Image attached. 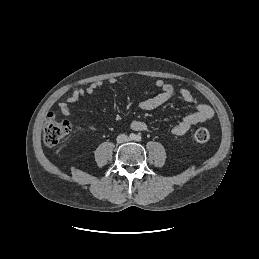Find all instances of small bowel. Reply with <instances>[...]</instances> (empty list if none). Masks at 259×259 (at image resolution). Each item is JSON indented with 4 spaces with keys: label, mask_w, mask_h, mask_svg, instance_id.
Listing matches in <instances>:
<instances>
[{
    "label": "small bowel",
    "mask_w": 259,
    "mask_h": 259,
    "mask_svg": "<svg viewBox=\"0 0 259 259\" xmlns=\"http://www.w3.org/2000/svg\"><path fill=\"white\" fill-rule=\"evenodd\" d=\"M109 84H115L116 79L110 78ZM101 81H95L88 85L86 88H77L62 102L59 103V109L64 115L70 113V105L84 98L85 96H91L95 91L102 86ZM155 86L159 89V93L142 99L139 102V107L145 111H151L162 106L166 102L179 96L184 102L195 105L196 110L187 116H185L177 124L170 128V134L173 136H182L186 134L193 126L206 122L214 116L213 109L205 103H199L196 97L185 88L176 91L173 85L158 79L155 82ZM131 129L135 131H144L147 129V125L143 121L134 120L130 124ZM93 130V127H89Z\"/></svg>",
    "instance_id": "small-bowel-1"
}]
</instances>
